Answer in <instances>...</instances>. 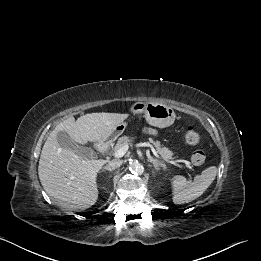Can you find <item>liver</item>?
Here are the masks:
<instances>
[{"mask_svg":"<svg viewBox=\"0 0 261 261\" xmlns=\"http://www.w3.org/2000/svg\"><path fill=\"white\" fill-rule=\"evenodd\" d=\"M128 118L127 114L89 113L69 117L59 123L43 145L38 174L46 193L62 207L87 209L98 199L96 177L105 160L82 158L70 149L62 148L57 133L67 132L79 144L105 141L115 127Z\"/></svg>","mask_w":261,"mask_h":261,"instance_id":"obj_1","label":"liver"}]
</instances>
